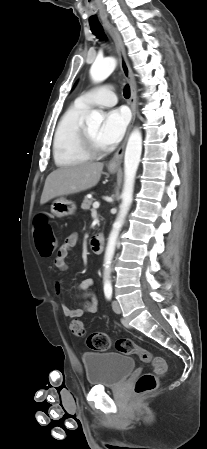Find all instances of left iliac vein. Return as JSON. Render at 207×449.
Listing matches in <instances>:
<instances>
[{
    "label": "left iliac vein",
    "mask_w": 207,
    "mask_h": 449,
    "mask_svg": "<svg viewBox=\"0 0 207 449\" xmlns=\"http://www.w3.org/2000/svg\"><path fill=\"white\" fill-rule=\"evenodd\" d=\"M112 309H113V311H114L115 313H117V314H120V313H121V308H120V305H119L118 301L114 300V301L112 302Z\"/></svg>",
    "instance_id": "1"
}]
</instances>
